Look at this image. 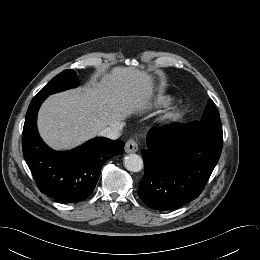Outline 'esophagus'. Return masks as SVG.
<instances>
[{"mask_svg":"<svg viewBox=\"0 0 260 260\" xmlns=\"http://www.w3.org/2000/svg\"><path fill=\"white\" fill-rule=\"evenodd\" d=\"M138 151V144L134 139H129L125 144V152L135 153Z\"/></svg>","mask_w":260,"mask_h":260,"instance_id":"34e87169","label":"esophagus"}]
</instances>
